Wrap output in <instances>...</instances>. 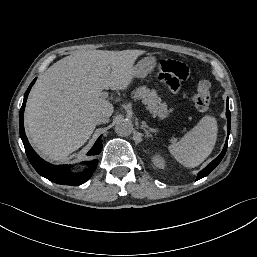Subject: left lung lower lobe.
Returning a JSON list of instances; mask_svg holds the SVG:
<instances>
[{
  "label": "left lung lower lobe",
  "instance_id": "1",
  "mask_svg": "<svg viewBox=\"0 0 257 257\" xmlns=\"http://www.w3.org/2000/svg\"><path fill=\"white\" fill-rule=\"evenodd\" d=\"M226 116H227L228 136H227V139H226L225 146H224L221 154L216 159H214L206 168H204L202 171H200L198 173L197 180L207 176L220 163V161L222 160V158L225 155V152H226V149H227L229 131H230V123H231L230 111H229V107H228V98H227V105H226Z\"/></svg>",
  "mask_w": 257,
  "mask_h": 257
}]
</instances>
